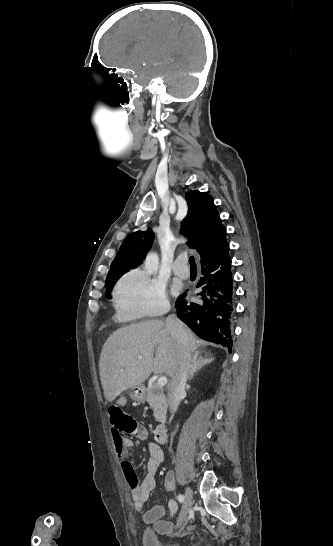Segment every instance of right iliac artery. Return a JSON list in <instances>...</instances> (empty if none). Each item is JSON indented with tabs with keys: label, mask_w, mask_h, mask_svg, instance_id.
<instances>
[{
	"label": "right iliac artery",
	"mask_w": 333,
	"mask_h": 546,
	"mask_svg": "<svg viewBox=\"0 0 333 546\" xmlns=\"http://www.w3.org/2000/svg\"><path fill=\"white\" fill-rule=\"evenodd\" d=\"M177 498H178L179 502H181V503L184 502V499H185L184 495L180 494V495H178Z\"/></svg>",
	"instance_id": "obj_1"
}]
</instances>
